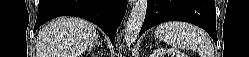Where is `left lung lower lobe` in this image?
I'll use <instances>...</instances> for the list:
<instances>
[{
    "mask_svg": "<svg viewBox=\"0 0 249 57\" xmlns=\"http://www.w3.org/2000/svg\"><path fill=\"white\" fill-rule=\"evenodd\" d=\"M166 21L195 24L206 30L217 44L214 0H148L139 37L152 26Z\"/></svg>",
    "mask_w": 249,
    "mask_h": 57,
    "instance_id": "obj_1",
    "label": "left lung lower lobe"
}]
</instances>
